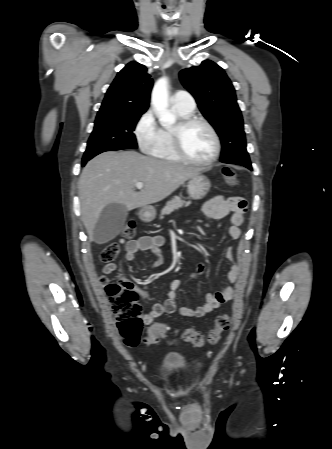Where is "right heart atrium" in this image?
<instances>
[{"label":"right heart atrium","instance_id":"obj_1","mask_svg":"<svg viewBox=\"0 0 332 449\" xmlns=\"http://www.w3.org/2000/svg\"><path fill=\"white\" fill-rule=\"evenodd\" d=\"M160 130L151 109L141 115L135 126V136L143 152L152 151L159 140Z\"/></svg>","mask_w":332,"mask_h":449}]
</instances>
